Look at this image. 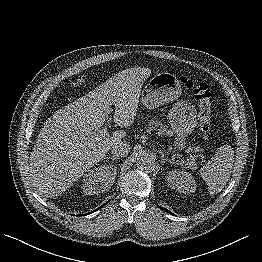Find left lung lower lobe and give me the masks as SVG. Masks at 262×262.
I'll return each mask as SVG.
<instances>
[{
  "instance_id": "left-lung-lower-lobe-1",
  "label": "left lung lower lobe",
  "mask_w": 262,
  "mask_h": 262,
  "mask_svg": "<svg viewBox=\"0 0 262 262\" xmlns=\"http://www.w3.org/2000/svg\"><path fill=\"white\" fill-rule=\"evenodd\" d=\"M162 209H164V208H162ZM164 210H166L167 212H169L170 214H172L170 211H168L167 209H164Z\"/></svg>"
}]
</instances>
